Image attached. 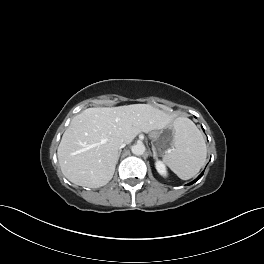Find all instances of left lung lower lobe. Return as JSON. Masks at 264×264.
I'll return each instance as SVG.
<instances>
[{"instance_id":"obj_1","label":"left lung lower lobe","mask_w":264,"mask_h":264,"mask_svg":"<svg viewBox=\"0 0 264 264\" xmlns=\"http://www.w3.org/2000/svg\"><path fill=\"white\" fill-rule=\"evenodd\" d=\"M202 175H203V173L200 174L199 177H198L196 180H194L193 182L189 183V185L193 184V183L196 182L198 179H200V178L202 177Z\"/></svg>"}]
</instances>
